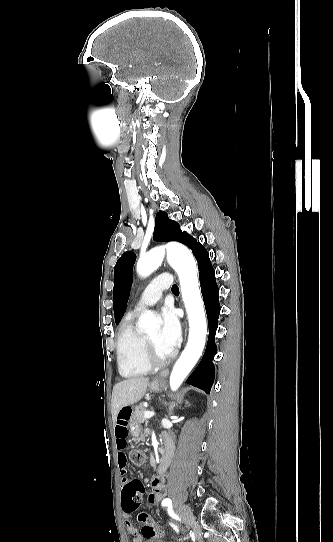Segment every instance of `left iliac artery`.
<instances>
[{
    "label": "left iliac artery",
    "instance_id": "1",
    "mask_svg": "<svg viewBox=\"0 0 333 542\" xmlns=\"http://www.w3.org/2000/svg\"><path fill=\"white\" fill-rule=\"evenodd\" d=\"M169 504H171V500H170L169 498H166V499H164V500L162 501V506H167V505H169ZM171 525H172V527L178 532L177 526H175V525H173V524H171Z\"/></svg>",
    "mask_w": 333,
    "mask_h": 542
}]
</instances>
